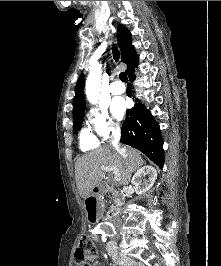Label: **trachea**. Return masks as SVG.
<instances>
[{
    "label": "trachea",
    "instance_id": "trachea-1",
    "mask_svg": "<svg viewBox=\"0 0 221 266\" xmlns=\"http://www.w3.org/2000/svg\"><path fill=\"white\" fill-rule=\"evenodd\" d=\"M112 53L113 57L116 61L119 59V50L117 49V46L115 44L112 45ZM119 78L123 82H128V77L125 72H121L119 75Z\"/></svg>",
    "mask_w": 221,
    "mask_h": 266
}]
</instances>
